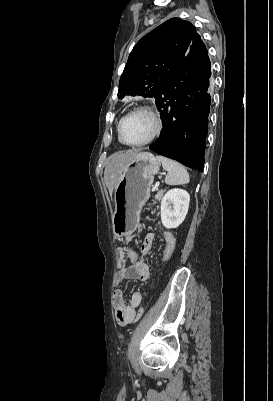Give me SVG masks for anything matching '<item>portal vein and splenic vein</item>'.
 <instances>
[{"mask_svg":"<svg viewBox=\"0 0 273 401\" xmlns=\"http://www.w3.org/2000/svg\"><path fill=\"white\" fill-rule=\"evenodd\" d=\"M162 174H166V172H162ZM159 186V182H156L155 186H153L152 190H157Z\"/></svg>","mask_w":273,"mask_h":401,"instance_id":"obj_1","label":"portal vein and splenic vein"}]
</instances>
